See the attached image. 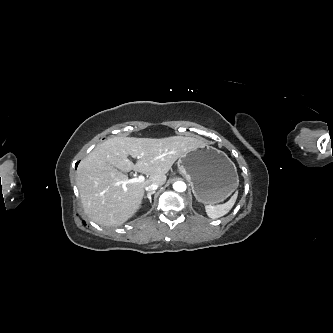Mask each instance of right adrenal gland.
Segmentation results:
<instances>
[{"mask_svg": "<svg viewBox=\"0 0 333 333\" xmlns=\"http://www.w3.org/2000/svg\"><path fill=\"white\" fill-rule=\"evenodd\" d=\"M156 193V191H151V192H149L148 194H147V196H145L144 198L146 199V198H148L149 199V202L152 204V198H151V195L152 194H155Z\"/></svg>", "mask_w": 333, "mask_h": 333, "instance_id": "2a0ac1e0", "label": "right adrenal gland"}]
</instances>
